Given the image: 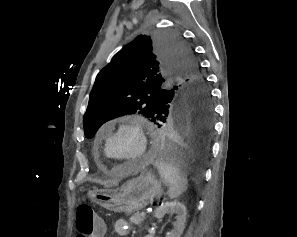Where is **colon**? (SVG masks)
<instances>
[{"instance_id":"5ec220e1","label":"colon","mask_w":297,"mask_h":237,"mask_svg":"<svg viewBox=\"0 0 297 237\" xmlns=\"http://www.w3.org/2000/svg\"><path fill=\"white\" fill-rule=\"evenodd\" d=\"M76 228L78 237H96L99 222L92 207L86 203H80L76 211Z\"/></svg>"}]
</instances>
